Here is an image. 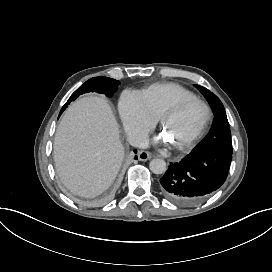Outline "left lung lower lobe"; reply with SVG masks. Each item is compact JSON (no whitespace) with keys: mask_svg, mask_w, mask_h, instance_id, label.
<instances>
[{"mask_svg":"<svg viewBox=\"0 0 272 272\" xmlns=\"http://www.w3.org/2000/svg\"><path fill=\"white\" fill-rule=\"evenodd\" d=\"M232 154L207 150L190 153L170 164L160 179L162 194L179 205H192L217 190L226 180Z\"/></svg>","mask_w":272,"mask_h":272,"instance_id":"0a47b994","label":"left lung lower lobe"}]
</instances>
